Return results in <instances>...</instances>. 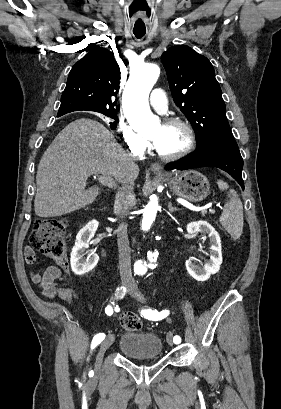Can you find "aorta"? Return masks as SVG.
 Masks as SVG:
<instances>
[{
    "mask_svg": "<svg viewBox=\"0 0 281 409\" xmlns=\"http://www.w3.org/2000/svg\"><path fill=\"white\" fill-rule=\"evenodd\" d=\"M160 74L156 64H143L135 68L130 76L124 95L125 114L137 132H148L159 125V119L150 110L148 97ZM159 208L154 196L145 206L142 228L149 229Z\"/></svg>",
    "mask_w": 281,
    "mask_h": 409,
    "instance_id": "762f6f07",
    "label": "aorta"
}]
</instances>
